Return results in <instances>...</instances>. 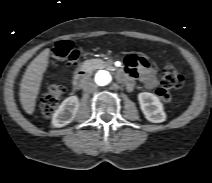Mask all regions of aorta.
Segmentation results:
<instances>
[{"instance_id":"1","label":"aorta","mask_w":212,"mask_h":183,"mask_svg":"<svg viewBox=\"0 0 212 183\" xmlns=\"http://www.w3.org/2000/svg\"><path fill=\"white\" fill-rule=\"evenodd\" d=\"M91 80L100 87H106L110 84L112 75L108 71H99L93 75Z\"/></svg>"}]
</instances>
